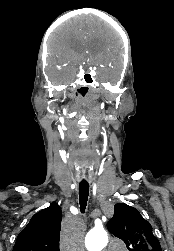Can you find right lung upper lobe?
<instances>
[{
    "mask_svg": "<svg viewBox=\"0 0 174 251\" xmlns=\"http://www.w3.org/2000/svg\"><path fill=\"white\" fill-rule=\"evenodd\" d=\"M61 217L57 203L36 213L18 235L13 251H59Z\"/></svg>",
    "mask_w": 174,
    "mask_h": 251,
    "instance_id": "cb5924a9",
    "label": "right lung upper lobe"
}]
</instances>
